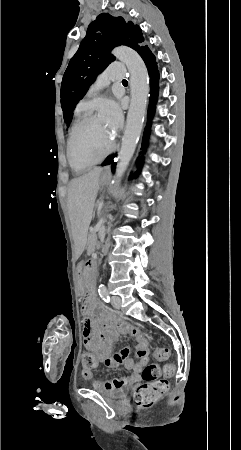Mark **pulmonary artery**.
Segmentation results:
<instances>
[{
	"label": "pulmonary artery",
	"instance_id": "pulmonary-artery-1",
	"mask_svg": "<svg viewBox=\"0 0 241 450\" xmlns=\"http://www.w3.org/2000/svg\"><path fill=\"white\" fill-rule=\"evenodd\" d=\"M125 66L123 64H106L103 70L104 78H123ZM102 76L98 77L99 81L103 80Z\"/></svg>",
	"mask_w": 241,
	"mask_h": 450
}]
</instances>
